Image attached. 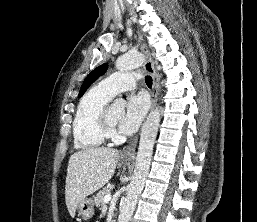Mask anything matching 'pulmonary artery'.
<instances>
[{
	"label": "pulmonary artery",
	"instance_id": "pulmonary-artery-1",
	"mask_svg": "<svg viewBox=\"0 0 257 222\" xmlns=\"http://www.w3.org/2000/svg\"><path fill=\"white\" fill-rule=\"evenodd\" d=\"M139 79L140 76L135 73L118 72L101 80L98 87L113 97L119 92L134 88Z\"/></svg>",
	"mask_w": 257,
	"mask_h": 222
}]
</instances>
